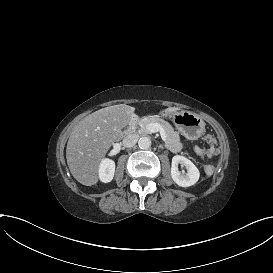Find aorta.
<instances>
[{
    "label": "aorta",
    "instance_id": "aorta-1",
    "mask_svg": "<svg viewBox=\"0 0 273 273\" xmlns=\"http://www.w3.org/2000/svg\"><path fill=\"white\" fill-rule=\"evenodd\" d=\"M138 145L141 149H148L151 146V140L149 137H141L138 141Z\"/></svg>",
    "mask_w": 273,
    "mask_h": 273
}]
</instances>
